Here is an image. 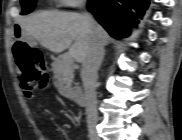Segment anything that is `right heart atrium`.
<instances>
[{
    "instance_id": "obj_1",
    "label": "right heart atrium",
    "mask_w": 182,
    "mask_h": 140,
    "mask_svg": "<svg viewBox=\"0 0 182 140\" xmlns=\"http://www.w3.org/2000/svg\"><path fill=\"white\" fill-rule=\"evenodd\" d=\"M60 2L62 5L73 7L81 6L84 3L83 0H61Z\"/></svg>"
}]
</instances>
